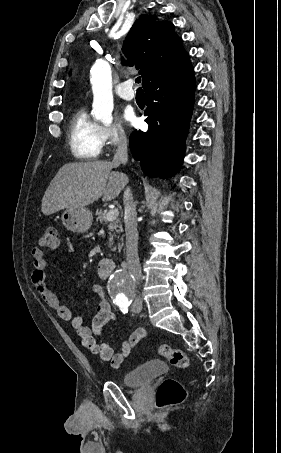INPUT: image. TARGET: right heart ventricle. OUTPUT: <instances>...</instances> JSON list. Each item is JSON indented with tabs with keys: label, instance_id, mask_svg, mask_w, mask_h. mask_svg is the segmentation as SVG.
I'll use <instances>...</instances> for the list:
<instances>
[{
	"label": "right heart ventricle",
	"instance_id": "e07e8e85",
	"mask_svg": "<svg viewBox=\"0 0 281 453\" xmlns=\"http://www.w3.org/2000/svg\"><path fill=\"white\" fill-rule=\"evenodd\" d=\"M69 137L72 152L80 160L97 159L105 144L103 126L91 116L85 105L71 115Z\"/></svg>",
	"mask_w": 281,
	"mask_h": 453
}]
</instances>
